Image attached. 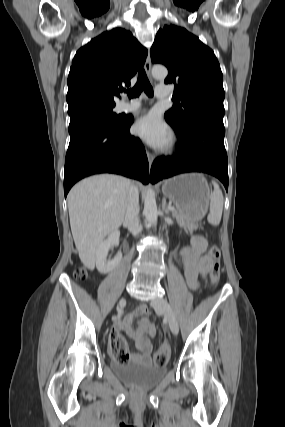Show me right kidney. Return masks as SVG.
Wrapping results in <instances>:
<instances>
[{"mask_svg":"<svg viewBox=\"0 0 285 427\" xmlns=\"http://www.w3.org/2000/svg\"><path fill=\"white\" fill-rule=\"evenodd\" d=\"M119 236L120 233L118 231L112 232L106 240H104L98 247L96 252V267L97 270L106 274L112 271L121 261L122 253L118 252L114 259L108 261L107 255L108 251L113 246L119 245Z\"/></svg>","mask_w":285,"mask_h":427,"instance_id":"obj_1","label":"right kidney"}]
</instances>
